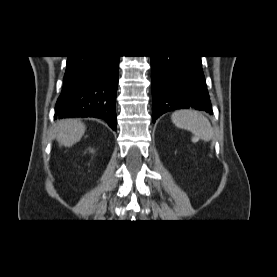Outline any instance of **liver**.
Segmentation results:
<instances>
[{"mask_svg":"<svg viewBox=\"0 0 277 277\" xmlns=\"http://www.w3.org/2000/svg\"><path fill=\"white\" fill-rule=\"evenodd\" d=\"M85 130L86 127L81 121L61 120L57 124V141L60 145L70 147L80 141Z\"/></svg>","mask_w":277,"mask_h":277,"instance_id":"obj_1","label":"liver"}]
</instances>
